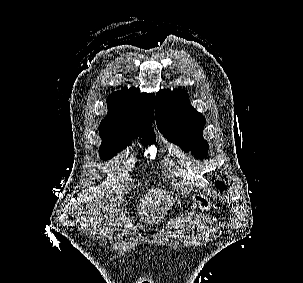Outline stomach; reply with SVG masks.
I'll use <instances>...</instances> for the list:
<instances>
[{"label":"stomach","mask_w":303,"mask_h":283,"mask_svg":"<svg viewBox=\"0 0 303 283\" xmlns=\"http://www.w3.org/2000/svg\"><path fill=\"white\" fill-rule=\"evenodd\" d=\"M190 201L192 202L194 208H198L201 211H207L210 210L212 203L210 202V200L203 196V195H199V194H194L189 196ZM187 202L188 200H185L184 203Z\"/></svg>","instance_id":"obj_1"}]
</instances>
